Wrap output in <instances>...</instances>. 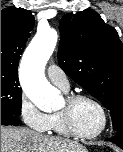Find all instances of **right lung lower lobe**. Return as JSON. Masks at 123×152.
I'll return each mask as SVG.
<instances>
[{
    "label": "right lung lower lobe",
    "instance_id": "right-lung-lower-lobe-1",
    "mask_svg": "<svg viewBox=\"0 0 123 152\" xmlns=\"http://www.w3.org/2000/svg\"><path fill=\"white\" fill-rule=\"evenodd\" d=\"M21 121L13 115L1 114V125H17Z\"/></svg>",
    "mask_w": 123,
    "mask_h": 152
}]
</instances>
